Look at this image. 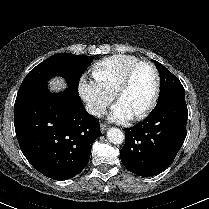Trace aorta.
Here are the masks:
<instances>
[{
    "instance_id": "aorta-1",
    "label": "aorta",
    "mask_w": 209,
    "mask_h": 209,
    "mask_svg": "<svg viewBox=\"0 0 209 209\" xmlns=\"http://www.w3.org/2000/svg\"><path fill=\"white\" fill-rule=\"evenodd\" d=\"M107 139L113 144H122L125 136L120 129L112 127L107 131Z\"/></svg>"
}]
</instances>
